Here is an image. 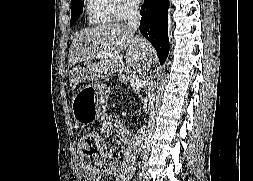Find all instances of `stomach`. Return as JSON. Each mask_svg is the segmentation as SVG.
<instances>
[{"instance_id": "1", "label": "stomach", "mask_w": 253, "mask_h": 181, "mask_svg": "<svg viewBox=\"0 0 253 181\" xmlns=\"http://www.w3.org/2000/svg\"><path fill=\"white\" fill-rule=\"evenodd\" d=\"M108 90L109 87L104 81L99 80L78 93L74 98L73 105L75 119L79 122L88 123L99 118L106 111ZM80 95L84 96V99L78 101Z\"/></svg>"}]
</instances>
